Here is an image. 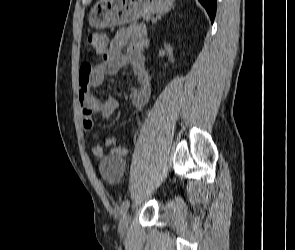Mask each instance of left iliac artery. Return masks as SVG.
<instances>
[{
  "label": "left iliac artery",
  "instance_id": "44dca946",
  "mask_svg": "<svg viewBox=\"0 0 295 250\" xmlns=\"http://www.w3.org/2000/svg\"><path fill=\"white\" fill-rule=\"evenodd\" d=\"M130 204L129 200H125L121 206V214H124V212L126 211V209H128Z\"/></svg>",
  "mask_w": 295,
  "mask_h": 250
}]
</instances>
